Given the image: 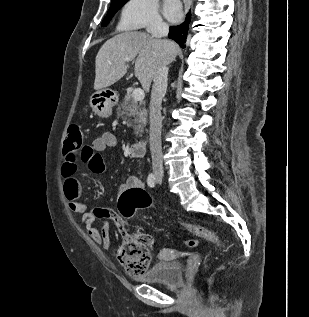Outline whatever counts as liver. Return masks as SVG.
<instances>
[{"label":"liver","instance_id":"6515ba94","mask_svg":"<svg viewBox=\"0 0 309 317\" xmlns=\"http://www.w3.org/2000/svg\"><path fill=\"white\" fill-rule=\"evenodd\" d=\"M169 42L172 48L165 52L162 40L145 32H124L107 40L96 56L94 89L100 90L119 81L127 72V62L136 58L135 76L148 92L158 65L163 60L171 63L178 53L177 45Z\"/></svg>","mask_w":309,"mask_h":317}]
</instances>
